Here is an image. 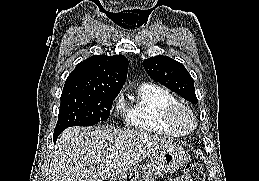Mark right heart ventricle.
Listing matches in <instances>:
<instances>
[{
	"label": "right heart ventricle",
	"instance_id": "1",
	"mask_svg": "<svg viewBox=\"0 0 259 181\" xmlns=\"http://www.w3.org/2000/svg\"><path fill=\"white\" fill-rule=\"evenodd\" d=\"M178 105L180 102L168 89L153 83L143 84L124 107L125 123L144 132L184 136L187 132L170 120L172 109Z\"/></svg>",
	"mask_w": 259,
	"mask_h": 181
}]
</instances>
